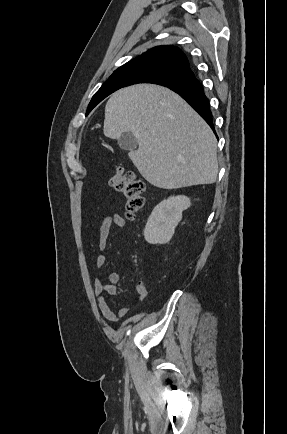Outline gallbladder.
<instances>
[{"mask_svg": "<svg viewBox=\"0 0 287 434\" xmlns=\"http://www.w3.org/2000/svg\"><path fill=\"white\" fill-rule=\"evenodd\" d=\"M119 147L126 151H134L137 148L138 142L131 132L123 133L117 140Z\"/></svg>", "mask_w": 287, "mask_h": 434, "instance_id": "1", "label": "gallbladder"}]
</instances>
